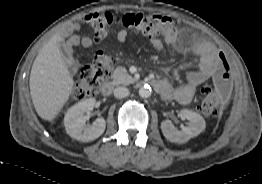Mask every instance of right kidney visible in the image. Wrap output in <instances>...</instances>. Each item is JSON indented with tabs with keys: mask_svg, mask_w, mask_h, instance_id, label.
<instances>
[{
	"mask_svg": "<svg viewBox=\"0 0 262 184\" xmlns=\"http://www.w3.org/2000/svg\"><path fill=\"white\" fill-rule=\"evenodd\" d=\"M95 99H86L73 105L64 117L67 134L79 141L89 142L101 136L105 130L104 118H97L92 125H86L85 112L93 110Z\"/></svg>",
	"mask_w": 262,
	"mask_h": 184,
	"instance_id": "obj_1",
	"label": "right kidney"
}]
</instances>
